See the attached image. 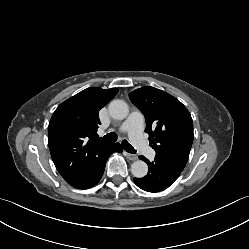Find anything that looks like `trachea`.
Here are the masks:
<instances>
[{
    "instance_id": "1",
    "label": "trachea",
    "mask_w": 249,
    "mask_h": 249,
    "mask_svg": "<svg viewBox=\"0 0 249 249\" xmlns=\"http://www.w3.org/2000/svg\"><path fill=\"white\" fill-rule=\"evenodd\" d=\"M102 139L109 141V142H116L117 134L115 132H110L102 137ZM122 146L124 150L128 153H136V150L126 141H122Z\"/></svg>"
}]
</instances>
